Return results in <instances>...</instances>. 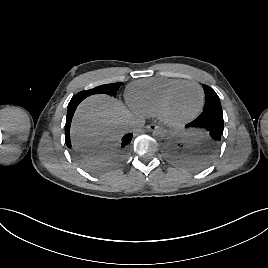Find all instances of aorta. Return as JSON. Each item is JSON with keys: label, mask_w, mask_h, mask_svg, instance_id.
<instances>
[{"label": "aorta", "mask_w": 268, "mask_h": 268, "mask_svg": "<svg viewBox=\"0 0 268 268\" xmlns=\"http://www.w3.org/2000/svg\"><path fill=\"white\" fill-rule=\"evenodd\" d=\"M153 137L156 138L157 140H162L166 137V131L162 128H157L153 131L152 133Z\"/></svg>", "instance_id": "762f6f07"}]
</instances>
